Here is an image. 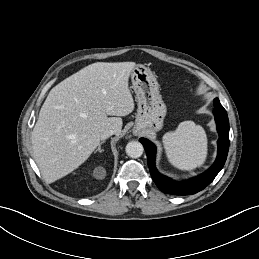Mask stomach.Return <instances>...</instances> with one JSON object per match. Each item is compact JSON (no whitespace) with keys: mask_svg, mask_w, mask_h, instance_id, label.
Wrapping results in <instances>:
<instances>
[{"mask_svg":"<svg viewBox=\"0 0 259 259\" xmlns=\"http://www.w3.org/2000/svg\"><path fill=\"white\" fill-rule=\"evenodd\" d=\"M130 76L138 103L133 131L155 133L161 130L167 109L155 76L143 65H136Z\"/></svg>","mask_w":259,"mask_h":259,"instance_id":"stomach-1","label":"stomach"}]
</instances>
